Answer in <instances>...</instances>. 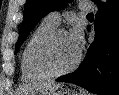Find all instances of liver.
I'll use <instances>...</instances> for the list:
<instances>
[{
    "label": "liver",
    "instance_id": "1",
    "mask_svg": "<svg viewBox=\"0 0 119 95\" xmlns=\"http://www.w3.org/2000/svg\"><path fill=\"white\" fill-rule=\"evenodd\" d=\"M62 86H63L62 84H56L53 82H40L32 86H24L23 88L20 89L21 92H19V94L34 95L37 94L38 92L43 93V92L55 91L61 88Z\"/></svg>",
    "mask_w": 119,
    "mask_h": 95
}]
</instances>
